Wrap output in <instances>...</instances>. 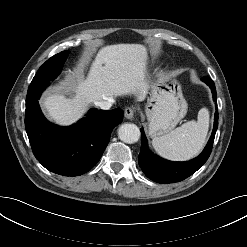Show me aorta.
<instances>
[{
  "instance_id": "aorta-1",
  "label": "aorta",
  "mask_w": 247,
  "mask_h": 247,
  "mask_svg": "<svg viewBox=\"0 0 247 247\" xmlns=\"http://www.w3.org/2000/svg\"><path fill=\"white\" fill-rule=\"evenodd\" d=\"M118 137L125 143L133 144L139 140L140 130L135 124L125 123L119 127Z\"/></svg>"
}]
</instances>
